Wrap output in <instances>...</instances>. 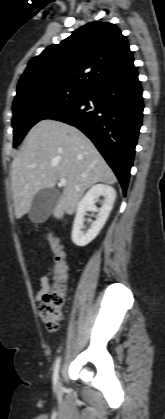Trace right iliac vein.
Masks as SVG:
<instances>
[{
	"instance_id": "1",
	"label": "right iliac vein",
	"mask_w": 165,
	"mask_h": 419,
	"mask_svg": "<svg viewBox=\"0 0 165 419\" xmlns=\"http://www.w3.org/2000/svg\"><path fill=\"white\" fill-rule=\"evenodd\" d=\"M60 389H61V383L58 381V382L56 383V390H57V391H60Z\"/></svg>"
}]
</instances>
